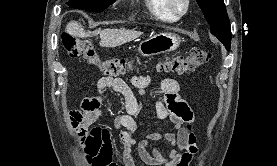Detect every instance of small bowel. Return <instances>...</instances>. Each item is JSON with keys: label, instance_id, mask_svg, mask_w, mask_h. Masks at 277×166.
Returning <instances> with one entry per match:
<instances>
[{"label": "small bowel", "instance_id": "small-bowel-1", "mask_svg": "<svg viewBox=\"0 0 277 166\" xmlns=\"http://www.w3.org/2000/svg\"><path fill=\"white\" fill-rule=\"evenodd\" d=\"M151 82L150 76H132L129 83L121 78L103 77L96 84V94L85 98L79 111L72 112V127L76 122V112L81 114L90 127L100 116V105L107 89L120 94L124 99V112L113 119V127L119 131L118 140L122 148L123 166H136L134 153L150 166H189L195 158L198 148L192 124V109L179 95V84L174 79H163L159 85V97L155 102V114L159 120H169L175 131L151 132L137 139L135 118L142 110V103L136 95L147 96L146 88ZM166 141L171 145L165 155L156 144ZM84 151L92 166H120L114 161L115 140L107 127H93L83 138Z\"/></svg>", "mask_w": 277, "mask_h": 166}]
</instances>
